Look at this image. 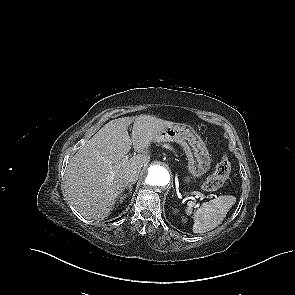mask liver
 <instances>
[{
    "instance_id": "obj_1",
    "label": "liver",
    "mask_w": 295,
    "mask_h": 295,
    "mask_svg": "<svg viewBox=\"0 0 295 295\" xmlns=\"http://www.w3.org/2000/svg\"><path fill=\"white\" fill-rule=\"evenodd\" d=\"M133 123L132 139L128 126ZM175 123L150 115L109 121L70 159L65 191L74 208L87 219H104L127 187V173L150 161L149 147L156 134ZM139 153L125 155L131 147Z\"/></svg>"
}]
</instances>
